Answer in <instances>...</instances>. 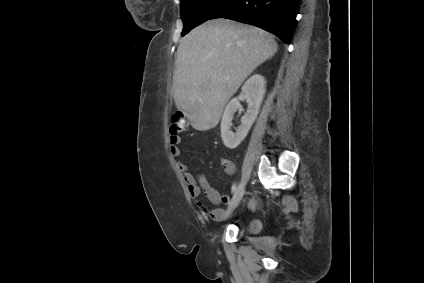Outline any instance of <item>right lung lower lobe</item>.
<instances>
[{
    "label": "right lung lower lobe",
    "instance_id": "right-lung-lower-lobe-1",
    "mask_svg": "<svg viewBox=\"0 0 424 283\" xmlns=\"http://www.w3.org/2000/svg\"><path fill=\"white\" fill-rule=\"evenodd\" d=\"M299 0H228L209 20L227 18L251 24L290 44Z\"/></svg>",
    "mask_w": 424,
    "mask_h": 283
}]
</instances>
